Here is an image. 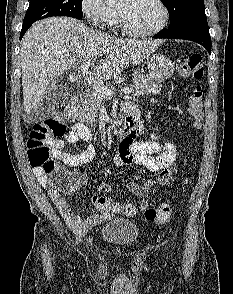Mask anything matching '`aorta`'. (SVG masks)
I'll return each mask as SVG.
<instances>
[{
	"label": "aorta",
	"instance_id": "aorta-1",
	"mask_svg": "<svg viewBox=\"0 0 233 294\" xmlns=\"http://www.w3.org/2000/svg\"><path fill=\"white\" fill-rule=\"evenodd\" d=\"M104 1H105V3H106L107 5L112 6V5H115V4H117L118 2H120L121 0H104Z\"/></svg>",
	"mask_w": 233,
	"mask_h": 294
}]
</instances>
